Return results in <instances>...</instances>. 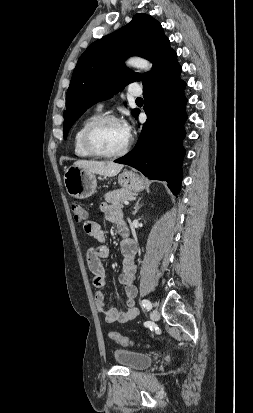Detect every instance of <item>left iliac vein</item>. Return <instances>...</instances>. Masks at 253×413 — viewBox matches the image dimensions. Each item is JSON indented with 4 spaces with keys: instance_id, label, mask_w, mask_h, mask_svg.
<instances>
[{
    "instance_id": "obj_1",
    "label": "left iliac vein",
    "mask_w": 253,
    "mask_h": 413,
    "mask_svg": "<svg viewBox=\"0 0 253 413\" xmlns=\"http://www.w3.org/2000/svg\"><path fill=\"white\" fill-rule=\"evenodd\" d=\"M150 317H151L152 322L155 323V322L159 319V313H158V311H157V310H153V311L151 312Z\"/></svg>"
}]
</instances>
